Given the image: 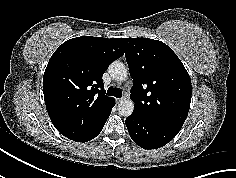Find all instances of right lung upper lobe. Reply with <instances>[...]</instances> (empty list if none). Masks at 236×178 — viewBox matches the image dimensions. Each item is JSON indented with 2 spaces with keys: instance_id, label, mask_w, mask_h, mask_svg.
Listing matches in <instances>:
<instances>
[{
  "instance_id": "right-lung-upper-lobe-1",
  "label": "right lung upper lobe",
  "mask_w": 236,
  "mask_h": 178,
  "mask_svg": "<svg viewBox=\"0 0 236 178\" xmlns=\"http://www.w3.org/2000/svg\"><path fill=\"white\" fill-rule=\"evenodd\" d=\"M121 38L82 36L58 47L43 77L49 117L65 137L79 141L108 119L115 100L105 95L102 76L124 54Z\"/></svg>"
}]
</instances>
